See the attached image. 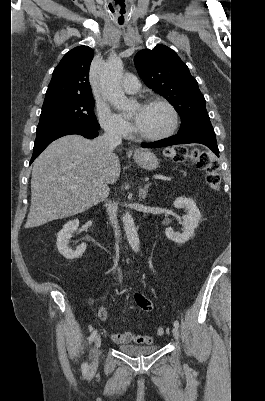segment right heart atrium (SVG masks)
<instances>
[{
    "instance_id": "d8ad5b80",
    "label": "right heart atrium",
    "mask_w": 265,
    "mask_h": 401,
    "mask_svg": "<svg viewBox=\"0 0 265 401\" xmlns=\"http://www.w3.org/2000/svg\"><path fill=\"white\" fill-rule=\"evenodd\" d=\"M97 118L103 131L112 138L128 137L132 134V126L102 103L97 106Z\"/></svg>"
}]
</instances>
